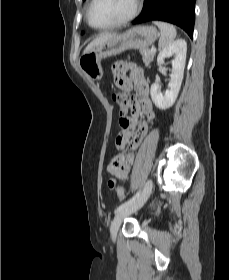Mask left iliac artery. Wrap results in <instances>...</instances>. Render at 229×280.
I'll return each mask as SVG.
<instances>
[{"label": "left iliac artery", "mask_w": 229, "mask_h": 280, "mask_svg": "<svg viewBox=\"0 0 229 280\" xmlns=\"http://www.w3.org/2000/svg\"><path fill=\"white\" fill-rule=\"evenodd\" d=\"M140 191H138L131 199H129L127 202L121 204L119 207L116 208L115 214H117L119 211L123 210L124 208L131 205L135 200L139 197Z\"/></svg>", "instance_id": "left-iliac-artery-1"}]
</instances>
